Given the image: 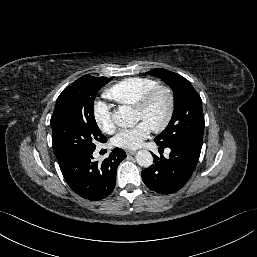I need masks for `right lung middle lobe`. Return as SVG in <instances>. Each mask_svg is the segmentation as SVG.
Here are the masks:
<instances>
[{"mask_svg":"<svg viewBox=\"0 0 257 257\" xmlns=\"http://www.w3.org/2000/svg\"><path fill=\"white\" fill-rule=\"evenodd\" d=\"M109 81L107 77L85 75L59 95L50 121L58 163L91 153L97 141H107L96 124L93 106L96 93Z\"/></svg>","mask_w":257,"mask_h":257,"instance_id":"1","label":"right lung middle lobe"}]
</instances>
